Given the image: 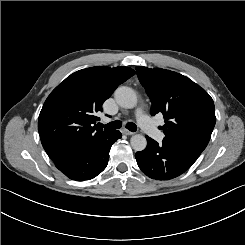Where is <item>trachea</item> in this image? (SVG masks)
Segmentation results:
<instances>
[{
  "label": "trachea",
  "mask_w": 245,
  "mask_h": 245,
  "mask_svg": "<svg viewBox=\"0 0 245 245\" xmlns=\"http://www.w3.org/2000/svg\"><path fill=\"white\" fill-rule=\"evenodd\" d=\"M105 127L109 129H119L122 127V122L120 120L112 121L106 124ZM125 127L132 132L137 130V126L133 122H128Z\"/></svg>",
  "instance_id": "1"
}]
</instances>
